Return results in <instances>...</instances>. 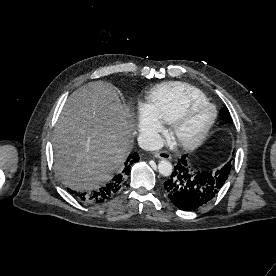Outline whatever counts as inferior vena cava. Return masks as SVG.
Wrapping results in <instances>:
<instances>
[{
    "label": "inferior vena cava",
    "mask_w": 276,
    "mask_h": 276,
    "mask_svg": "<svg viewBox=\"0 0 276 276\" xmlns=\"http://www.w3.org/2000/svg\"><path fill=\"white\" fill-rule=\"evenodd\" d=\"M138 145L144 150L155 151L163 147V139L158 133H142L138 136Z\"/></svg>",
    "instance_id": "602c4592"
}]
</instances>
